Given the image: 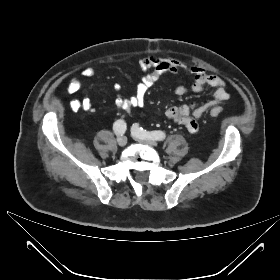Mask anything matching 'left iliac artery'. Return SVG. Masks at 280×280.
I'll return each mask as SVG.
<instances>
[{
  "label": "left iliac artery",
  "mask_w": 280,
  "mask_h": 280,
  "mask_svg": "<svg viewBox=\"0 0 280 280\" xmlns=\"http://www.w3.org/2000/svg\"><path fill=\"white\" fill-rule=\"evenodd\" d=\"M132 132L136 133L142 139H153L162 141L166 138V134L163 131L158 130L149 132L144 130L142 127H139L137 123L133 124Z\"/></svg>",
  "instance_id": "obj_1"
}]
</instances>
